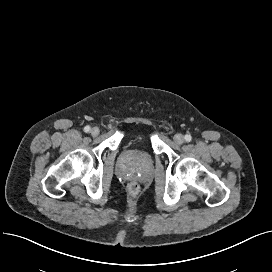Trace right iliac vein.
<instances>
[{"mask_svg":"<svg viewBox=\"0 0 272 272\" xmlns=\"http://www.w3.org/2000/svg\"><path fill=\"white\" fill-rule=\"evenodd\" d=\"M99 133H100V130H99L98 127H93V128L91 129V135H92V136L96 137V136L99 135Z\"/></svg>","mask_w":272,"mask_h":272,"instance_id":"right-iliac-vein-1","label":"right iliac vein"}]
</instances>
